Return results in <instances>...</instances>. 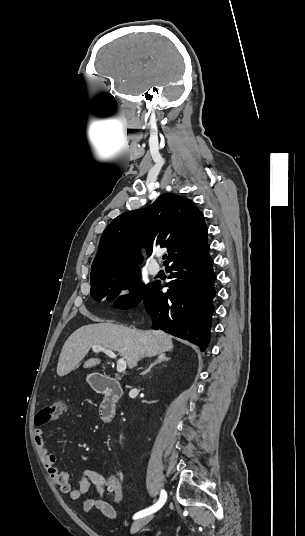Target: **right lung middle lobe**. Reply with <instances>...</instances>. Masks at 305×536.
I'll use <instances>...</instances> for the list:
<instances>
[{"instance_id":"1","label":"right lung middle lobe","mask_w":305,"mask_h":536,"mask_svg":"<svg viewBox=\"0 0 305 536\" xmlns=\"http://www.w3.org/2000/svg\"><path fill=\"white\" fill-rule=\"evenodd\" d=\"M140 270H134L112 278L91 281V295L98 302L106 297L108 301L115 299L124 289H130L127 296H121L116 302L117 308H130L137 305L149 290V285L140 283Z\"/></svg>"}]
</instances>
